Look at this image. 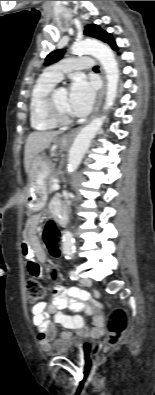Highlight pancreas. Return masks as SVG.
Instances as JSON below:
<instances>
[{
    "label": "pancreas",
    "mask_w": 155,
    "mask_h": 395,
    "mask_svg": "<svg viewBox=\"0 0 155 395\" xmlns=\"http://www.w3.org/2000/svg\"><path fill=\"white\" fill-rule=\"evenodd\" d=\"M58 182V179L56 176H51L48 180H47V191L48 193H52L54 190L52 188V185Z\"/></svg>",
    "instance_id": "pancreas-1"
}]
</instances>
